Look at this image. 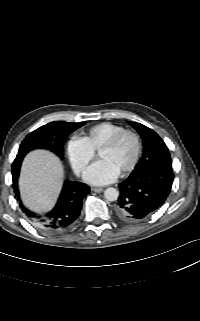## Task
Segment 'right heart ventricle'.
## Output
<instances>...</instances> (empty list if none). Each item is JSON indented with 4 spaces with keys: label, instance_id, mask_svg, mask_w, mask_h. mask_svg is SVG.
<instances>
[{
    "label": "right heart ventricle",
    "instance_id": "obj_1",
    "mask_svg": "<svg viewBox=\"0 0 200 321\" xmlns=\"http://www.w3.org/2000/svg\"><path fill=\"white\" fill-rule=\"evenodd\" d=\"M124 129L125 128L119 124L102 122L90 127L82 138L93 151H96L111 137Z\"/></svg>",
    "mask_w": 200,
    "mask_h": 321
}]
</instances>
